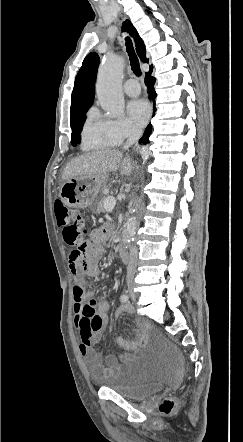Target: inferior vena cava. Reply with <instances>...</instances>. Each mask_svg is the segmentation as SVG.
I'll return each mask as SVG.
<instances>
[{
	"label": "inferior vena cava",
	"mask_w": 243,
	"mask_h": 442,
	"mask_svg": "<svg viewBox=\"0 0 243 442\" xmlns=\"http://www.w3.org/2000/svg\"><path fill=\"white\" fill-rule=\"evenodd\" d=\"M141 134H142L141 129L133 128L131 130V133H130L128 139H127L126 144L124 145V149H128L130 146H132L134 143H136L139 140ZM137 260H138V250L135 246H132L130 249L129 263H128V267H127V277L128 278L134 277V274L136 272V267H137Z\"/></svg>",
	"instance_id": "1"
}]
</instances>
